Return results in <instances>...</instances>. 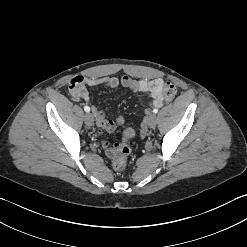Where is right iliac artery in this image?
<instances>
[{
    "label": "right iliac artery",
    "mask_w": 247,
    "mask_h": 247,
    "mask_svg": "<svg viewBox=\"0 0 247 247\" xmlns=\"http://www.w3.org/2000/svg\"><path fill=\"white\" fill-rule=\"evenodd\" d=\"M84 110H85L86 112H90V107L84 106Z\"/></svg>",
    "instance_id": "82829eb1"
}]
</instances>
